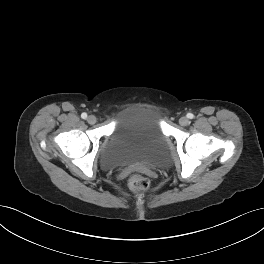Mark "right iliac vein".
I'll return each instance as SVG.
<instances>
[{
    "instance_id": "1",
    "label": "right iliac vein",
    "mask_w": 264,
    "mask_h": 264,
    "mask_svg": "<svg viewBox=\"0 0 264 264\" xmlns=\"http://www.w3.org/2000/svg\"><path fill=\"white\" fill-rule=\"evenodd\" d=\"M97 121L96 117L94 115H90L88 118H87V122L89 124H95Z\"/></svg>"
}]
</instances>
